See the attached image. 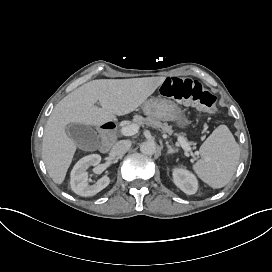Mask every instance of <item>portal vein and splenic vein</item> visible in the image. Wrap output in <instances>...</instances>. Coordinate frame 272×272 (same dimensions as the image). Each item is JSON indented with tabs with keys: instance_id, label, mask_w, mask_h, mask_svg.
Wrapping results in <instances>:
<instances>
[{
	"instance_id": "1",
	"label": "portal vein and splenic vein",
	"mask_w": 272,
	"mask_h": 272,
	"mask_svg": "<svg viewBox=\"0 0 272 272\" xmlns=\"http://www.w3.org/2000/svg\"><path fill=\"white\" fill-rule=\"evenodd\" d=\"M137 130H138V127L136 125L124 126V127H121L120 134L123 136H132L137 132ZM179 141H180L181 147L184 150L190 149L188 143L184 139H180Z\"/></svg>"
}]
</instances>
